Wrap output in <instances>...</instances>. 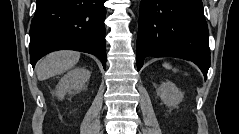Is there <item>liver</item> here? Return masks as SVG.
Here are the masks:
<instances>
[{
  "instance_id": "6515ba94",
  "label": "liver",
  "mask_w": 239,
  "mask_h": 134,
  "mask_svg": "<svg viewBox=\"0 0 239 134\" xmlns=\"http://www.w3.org/2000/svg\"><path fill=\"white\" fill-rule=\"evenodd\" d=\"M80 58L75 51H58L45 56L37 65L36 73L39 80L62 74L72 68Z\"/></svg>"
}]
</instances>
